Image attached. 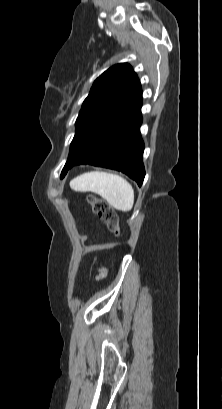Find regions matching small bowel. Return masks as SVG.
I'll return each mask as SVG.
<instances>
[{
    "instance_id": "c3829d8e",
    "label": "small bowel",
    "mask_w": 222,
    "mask_h": 409,
    "mask_svg": "<svg viewBox=\"0 0 222 409\" xmlns=\"http://www.w3.org/2000/svg\"><path fill=\"white\" fill-rule=\"evenodd\" d=\"M107 247H108V248H112V247H114V244H113V243H110V244L107 245ZM101 266H104V263H101Z\"/></svg>"
}]
</instances>
